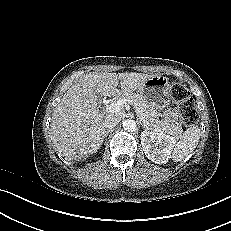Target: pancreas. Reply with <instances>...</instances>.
I'll return each instance as SVG.
<instances>
[{"instance_id": "obj_1", "label": "pancreas", "mask_w": 231, "mask_h": 231, "mask_svg": "<svg viewBox=\"0 0 231 231\" xmlns=\"http://www.w3.org/2000/svg\"><path fill=\"white\" fill-rule=\"evenodd\" d=\"M120 99H127L130 104L134 106L138 117L149 129H153L175 137H179L182 134L183 129L179 123H170L168 121L158 120L159 114L156 109L148 104L139 95L133 93L121 95L114 99L112 102Z\"/></svg>"}]
</instances>
